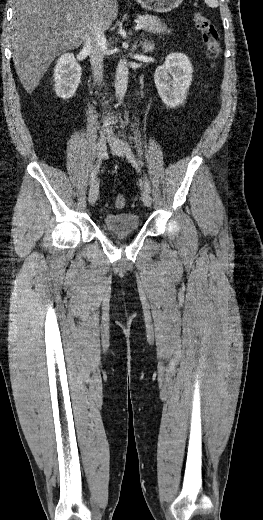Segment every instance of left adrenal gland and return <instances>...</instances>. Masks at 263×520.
Here are the masks:
<instances>
[{
  "instance_id": "left-adrenal-gland-1",
  "label": "left adrenal gland",
  "mask_w": 263,
  "mask_h": 520,
  "mask_svg": "<svg viewBox=\"0 0 263 520\" xmlns=\"http://www.w3.org/2000/svg\"><path fill=\"white\" fill-rule=\"evenodd\" d=\"M140 43L143 46L145 52L151 51L153 48V44L147 39H144V42L141 41Z\"/></svg>"
}]
</instances>
